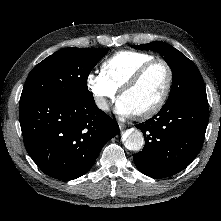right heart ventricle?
I'll use <instances>...</instances> for the list:
<instances>
[{
    "label": "right heart ventricle",
    "instance_id": "right-heart-ventricle-1",
    "mask_svg": "<svg viewBox=\"0 0 221 221\" xmlns=\"http://www.w3.org/2000/svg\"><path fill=\"white\" fill-rule=\"evenodd\" d=\"M154 58L145 52L120 51L102 63L101 73L116 90H119L141 65Z\"/></svg>",
    "mask_w": 221,
    "mask_h": 221
}]
</instances>
